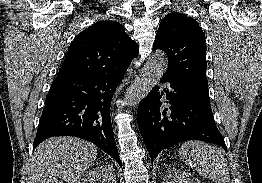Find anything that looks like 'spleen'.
Wrapping results in <instances>:
<instances>
[{
    "label": "spleen",
    "instance_id": "obj_1",
    "mask_svg": "<svg viewBox=\"0 0 262 183\" xmlns=\"http://www.w3.org/2000/svg\"><path fill=\"white\" fill-rule=\"evenodd\" d=\"M181 159L201 176L215 183H230L228 165L222 153L209 144L188 141L179 150Z\"/></svg>",
    "mask_w": 262,
    "mask_h": 183
}]
</instances>
